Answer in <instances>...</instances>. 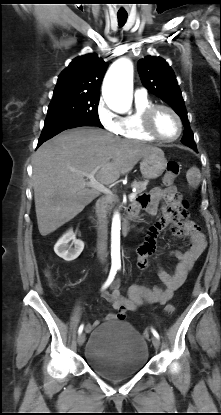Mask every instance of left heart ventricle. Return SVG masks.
<instances>
[{
	"instance_id": "b2bd125f",
	"label": "left heart ventricle",
	"mask_w": 221,
	"mask_h": 415,
	"mask_svg": "<svg viewBox=\"0 0 221 415\" xmlns=\"http://www.w3.org/2000/svg\"><path fill=\"white\" fill-rule=\"evenodd\" d=\"M155 128L160 135L166 138H172L178 133L177 120L164 109L159 110L155 116Z\"/></svg>"
}]
</instances>
